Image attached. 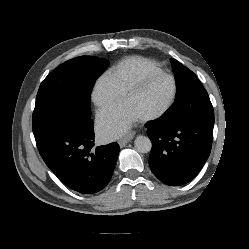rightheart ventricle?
Returning a JSON list of instances; mask_svg holds the SVG:
<instances>
[{
    "mask_svg": "<svg viewBox=\"0 0 249 249\" xmlns=\"http://www.w3.org/2000/svg\"><path fill=\"white\" fill-rule=\"evenodd\" d=\"M160 71L162 69L152 60L141 56H131L119 62L110 74L121 90L126 91L142 76Z\"/></svg>",
    "mask_w": 249,
    "mask_h": 249,
    "instance_id": "obj_1",
    "label": "right heart ventricle"
}]
</instances>
